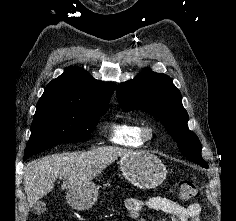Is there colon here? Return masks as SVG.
<instances>
[{"mask_svg":"<svg viewBox=\"0 0 236 221\" xmlns=\"http://www.w3.org/2000/svg\"><path fill=\"white\" fill-rule=\"evenodd\" d=\"M178 187L180 196L185 200L196 198L199 194L197 185L190 178L185 177L180 179Z\"/></svg>","mask_w":236,"mask_h":221,"instance_id":"obj_1","label":"colon"}]
</instances>
